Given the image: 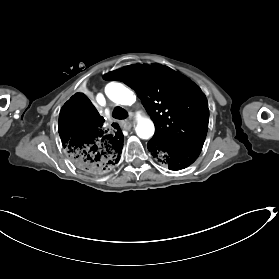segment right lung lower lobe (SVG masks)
<instances>
[{
	"instance_id": "right-lung-lower-lobe-1",
	"label": "right lung lower lobe",
	"mask_w": 279,
	"mask_h": 279,
	"mask_svg": "<svg viewBox=\"0 0 279 279\" xmlns=\"http://www.w3.org/2000/svg\"><path fill=\"white\" fill-rule=\"evenodd\" d=\"M58 131L63 147L78 169L105 174L119 162L124 142L119 125H104V118L84 94L73 95L63 105Z\"/></svg>"
}]
</instances>
